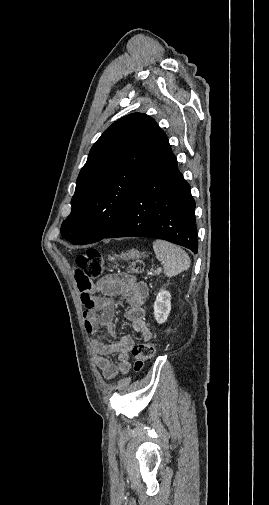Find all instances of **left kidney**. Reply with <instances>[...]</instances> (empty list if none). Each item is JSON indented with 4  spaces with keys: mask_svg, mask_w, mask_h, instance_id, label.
Listing matches in <instances>:
<instances>
[{
    "mask_svg": "<svg viewBox=\"0 0 269 505\" xmlns=\"http://www.w3.org/2000/svg\"><path fill=\"white\" fill-rule=\"evenodd\" d=\"M154 317L157 323H164L171 311V294L167 290H160L154 302Z\"/></svg>",
    "mask_w": 269,
    "mask_h": 505,
    "instance_id": "5707ae66",
    "label": "left kidney"
}]
</instances>
